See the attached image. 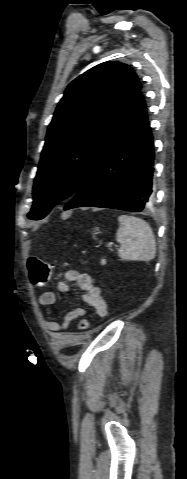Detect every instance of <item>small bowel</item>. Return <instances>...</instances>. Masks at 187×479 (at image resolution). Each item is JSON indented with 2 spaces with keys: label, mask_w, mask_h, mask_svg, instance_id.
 <instances>
[{
  "label": "small bowel",
  "mask_w": 187,
  "mask_h": 479,
  "mask_svg": "<svg viewBox=\"0 0 187 479\" xmlns=\"http://www.w3.org/2000/svg\"><path fill=\"white\" fill-rule=\"evenodd\" d=\"M65 280L59 281L57 284V289L59 292L67 293L72 291L70 282L75 283L77 290L80 294V297L83 302L91 306L98 316L106 317L108 313V306L105 298L102 296L100 289L94 285L90 275L86 273L79 272L74 269L67 270L65 272ZM39 303L44 306H49L57 301V295L55 292L46 291L43 292L38 299ZM85 315V310L82 307H75L70 312H68L64 318V321L59 323L53 320L44 319L45 327L59 336L64 333L66 329L78 318Z\"/></svg>",
  "instance_id": "1"
}]
</instances>
